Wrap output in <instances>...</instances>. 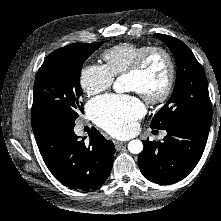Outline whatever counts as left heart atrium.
I'll return each mask as SVG.
<instances>
[{
    "instance_id": "1",
    "label": "left heart atrium",
    "mask_w": 221,
    "mask_h": 221,
    "mask_svg": "<svg viewBox=\"0 0 221 221\" xmlns=\"http://www.w3.org/2000/svg\"><path fill=\"white\" fill-rule=\"evenodd\" d=\"M88 110L107 132L126 138L138 129L136 121L144 115L145 106L134 95H107L93 100Z\"/></svg>"
}]
</instances>
